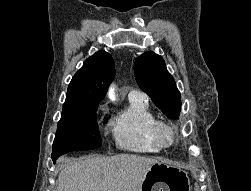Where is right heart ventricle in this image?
<instances>
[{"label": "right heart ventricle", "instance_id": "e07e8e85", "mask_svg": "<svg viewBox=\"0 0 251 191\" xmlns=\"http://www.w3.org/2000/svg\"><path fill=\"white\" fill-rule=\"evenodd\" d=\"M155 118L147 97L129 98L127 108L112 121L117 149L147 156L159 153L150 137V126Z\"/></svg>", "mask_w": 251, "mask_h": 191}]
</instances>
